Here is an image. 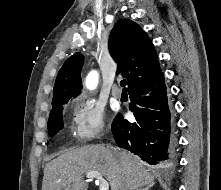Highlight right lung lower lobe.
I'll return each mask as SVG.
<instances>
[{"instance_id":"obj_1","label":"right lung lower lobe","mask_w":221,"mask_h":190,"mask_svg":"<svg viewBox=\"0 0 221 190\" xmlns=\"http://www.w3.org/2000/svg\"><path fill=\"white\" fill-rule=\"evenodd\" d=\"M128 93L136 122L130 123L120 114L115 117L111 129L117 145L149 164L170 163L175 150L174 122L163 73L133 86Z\"/></svg>"}]
</instances>
